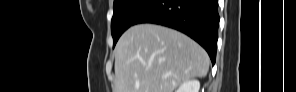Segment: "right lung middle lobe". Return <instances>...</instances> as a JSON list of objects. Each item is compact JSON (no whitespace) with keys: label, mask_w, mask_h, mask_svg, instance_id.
<instances>
[{"label":"right lung middle lobe","mask_w":296,"mask_h":92,"mask_svg":"<svg viewBox=\"0 0 296 92\" xmlns=\"http://www.w3.org/2000/svg\"><path fill=\"white\" fill-rule=\"evenodd\" d=\"M155 0H114L111 33L113 46L121 34L133 25L136 18L146 10Z\"/></svg>","instance_id":"right-lung-middle-lobe-1"}]
</instances>
